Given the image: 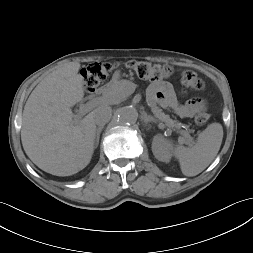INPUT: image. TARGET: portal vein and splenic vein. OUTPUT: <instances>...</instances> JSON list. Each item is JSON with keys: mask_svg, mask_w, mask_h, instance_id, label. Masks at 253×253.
Masks as SVG:
<instances>
[{"mask_svg": "<svg viewBox=\"0 0 253 253\" xmlns=\"http://www.w3.org/2000/svg\"><path fill=\"white\" fill-rule=\"evenodd\" d=\"M91 107H92V104H90V103L81 105V106H80V109H79V115L75 116L74 120H75V121H78L79 118H80L82 115H84L85 113H87L88 111H90ZM183 135H184L185 137H189V135H188L187 133H184Z\"/></svg>", "mask_w": 253, "mask_h": 253, "instance_id": "18ae733b", "label": "portal vein and splenic vein"}]
</instances>
